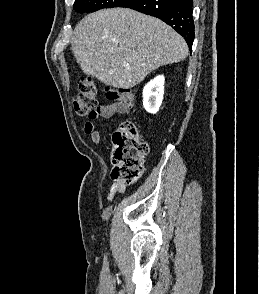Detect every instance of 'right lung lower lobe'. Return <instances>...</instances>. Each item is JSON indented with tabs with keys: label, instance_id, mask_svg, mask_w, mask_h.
<instances>
[{
	"label": "right lung lower lobe",
	"instance_id": "right-lung-lower-lobe-1",
	"mask_svg": "<svg viewBox=\"0 0 259 294\" xmlns=\"http://www.w3.org/2000/svg\"><path fill=\"white\" fill-rule=\"evenodd\" d=\"M119 7L131 8L161 19L182 35L191 49L195 37L193 0H128Z\"/></svg>",
	"mask_w": 259,
	"mask_h": 294
}]
</instances>
